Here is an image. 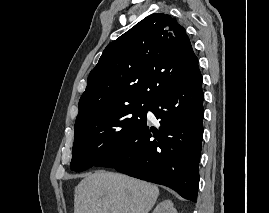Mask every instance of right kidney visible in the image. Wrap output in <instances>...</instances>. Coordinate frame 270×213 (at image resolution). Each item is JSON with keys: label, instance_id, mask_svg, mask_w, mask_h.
Returning <instances> with one entry per match:
<instances>
[{"label": "right kidney", "instance_id": "ca27d5eb", "mask_svg": "<svg viewBox=\"0 0 270 213\" xmlns=\"http://www.w3.org/2000/svg\"><path fill=\"white\" fill-rule=\"evenodd\" d=\"M152 213H177L171 200L160 202Z\"/></svg>", "mask_w": 270, "mask_h": 213}]
</instances>
